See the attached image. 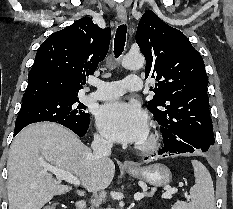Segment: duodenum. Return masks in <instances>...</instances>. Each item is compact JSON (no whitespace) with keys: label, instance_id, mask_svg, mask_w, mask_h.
<instances>
[{"label":"duodenum","instance_id":"410a0bca","mask_svg":"<svg viewBox=\"0 0 233 209\" xmlns=\"http://www.w3.org/2000/svg\"><path fill=\"white\" fill-rule=\"evenodd\" d=\"M76 209H86V203L83 200H78L75 203Z\"/></svg>","mask_w":233,"mask_h":209}]
</instances>
